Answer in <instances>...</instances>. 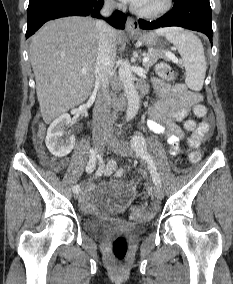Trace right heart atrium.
<instances>
[{"label":"right heart atrium","mask_w":233,"mask_h":284,"mask_svg":"<svg viewBox=\"0 0 233 284\" xmlns=\"http://www.w3.org/2000/svg\"><path fill=\"white\" fill-rule=\"evenodd\" d=\"M106 2L110 5H113L114 4V0H106Z\"/></svg>","instance_id":"1"}]
</instances>
